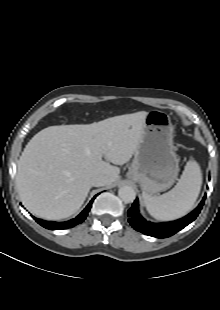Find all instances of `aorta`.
Listing matches in <instances>:
<instances>
[{
	"label": "aorta",
	"instance_id": "obj_1",
	"mask_svg": "<svg viewBox=\"0 0 220 310\" xmlns=\"http://www.w3.org/2000/svg\"><path fill=\"white\" fill-rule=\"evenodd\" d=\"M118 195L123 202L131 203L136 197V192L130 186H123L119 189Z\"/></svg>",
	"mask_w": 220,
	"mask_h": 310
}]
</instances>
